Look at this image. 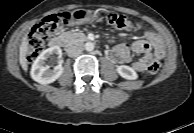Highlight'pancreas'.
Listing matches in <instances>:
<instances>
[{"mask_svg":"<svg viewBox=\"0 0 194 133\" xmlns=\"http://www.w3.org/2000/svg\"><path fill=\"white\" fill-rule=\"evenodd\" d=\"M63 36L66 39V41L69 42L70 44H74L81 40L86 39V36L81 32L75 33V32L68 31V32H65Z\"/></svg>","mask_w":194,"mask_h":133,"instance_id":"cf45deb5","label":"pancreas"}]
</instances>
